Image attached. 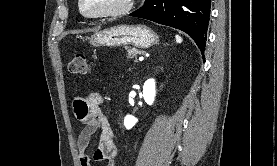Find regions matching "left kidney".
Wrapping results in <instances>:
<instances>
[{"label":"left kidney","instance_id":"1","mask_svg":"<svg viewBox=\"0 0 277 166\" xmlns=\"http://www.w3.org/2000/svg\"><path fill=\"white\" fill-rule=\"evenodd\" d=\"M156 96V88H155V80L148 79L143 86V98L148 105H152L154 103ZM137 118L132 115H127L124 119V126L126 129H131L136 123Z\"/></svg>","mask_w":277,"mask_h":166}]
</instances>
